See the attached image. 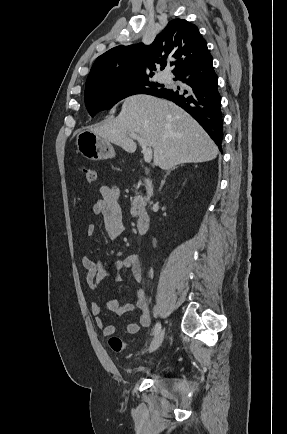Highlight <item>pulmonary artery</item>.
I'll return each instance as SVG.
<instances>
[{
  "label": "pulmonary artery",
  "instance_id": "pulmonary-artery-1",
  "mask_svg": "<svg viewBox=\"0 0 287 434\" xmlns=\"http://www.w3.org/2000/svg\"><path fill=\"white\" fill-rule=\"evenodd\" d=\"M169 80H170L169 77H162V81H164V82H167V81H169Z\"/></svg>",
  "mask_w": 287,
  "mask_h": 434
}]
</instances>
